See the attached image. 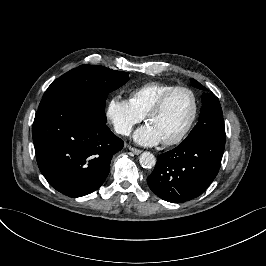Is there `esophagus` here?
<instances>
[{"instance_id": "esophagus-1", "label": "esophagus", "mask_w": 266, "mask_h": 266, "mask_svg": "<svg viewBox=\"0 0 266 266\" xmlns=\"http://www.w3.org/2000/svg\"><path fill=\"white\" fill-rule=\"evenodd\" d=\"M129 150L132 151L134 154L138 155L141 153L140 149L134 148L132 146H128Z\"/></svg>"}]
</instances>
